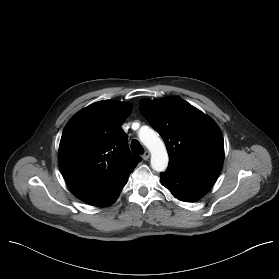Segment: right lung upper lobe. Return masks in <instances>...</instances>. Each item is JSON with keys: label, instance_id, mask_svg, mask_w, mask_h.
Segmentation results:
<instances>
[{"label": "right lung upper lobe", "instance_id": "obj_1", "mask_svg": "<svg viewBox=\"0 0 279 279\" xmlns=\"http://www.w3.org/2000/svg\"><path fill=\"white\" fill-rule=\"evenodd\" d=\"M130 103L104 100L76 113L66 124L59 146V168L72 193L84 202L127 183L141 158L129 150L120 125Z\"/></svg>", "mask_w": 279, "mask_h": 279}]
</instances>
